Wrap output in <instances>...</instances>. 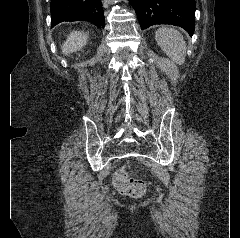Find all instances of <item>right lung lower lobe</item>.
Segmentation results:
<instances>
[{
  "label": "right lung lower lobe",
  "instance_id": "obj_1",
  "mask_svg": "<svg viewBox=\"0 0 240 238\" xmlns=\"http://www.w3.org/2000/svg\"><path fill=\"white\" fill-rule=\"evenodd\" d=\"M51 27L63 22L82 20L104 27L101 0H51Z\"/></svg>",
  "mask_w": 240,
  "mask_h": 238
}]
</instances>
